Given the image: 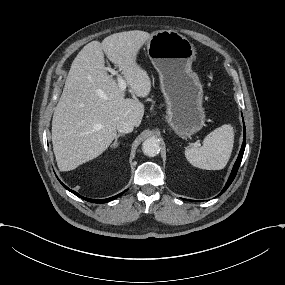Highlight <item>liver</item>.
I'll return each mask as SVG.
<instances>
[{
  "label": "liver",
  "instance_id": "obj_1",
  "mask_svg": "<svg viewBox=\"0 0 285 285\" xmlns=\"http://www.w3.org/2000/svg\"><path fill=\"white\" fill-rule=\"evenodd\" d=\"M150 38L145 31L116 33L87 44L77 55L53 113L52 142L60 171L74 170L103 154L120 121L140 126L144 106L125 98L126 90L106 71L105 55L122 69L128 91L147 98L152 81L137 59Z\"/></svg>",
  "mask_w": 285,
  "mask_h": 285
}]
</instances>
